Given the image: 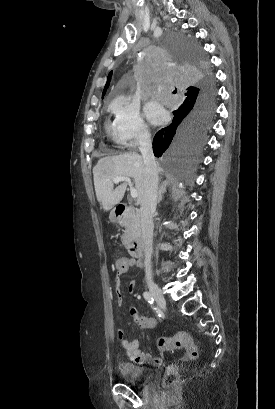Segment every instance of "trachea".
I'll list each match as a JSON object with an SVG mask.
<instances>
[{
	"label": "trachea",
	"mask_w": 275,
	"mask_h": 409,
	"mask_svg": "<svg viewBox=\"0 0 275 409\" xmlns=\"http://www.w3.org/2000/svg\"><path fill=\"white\" fill-rule=\"evenodd\" d=\"M176 91H177V90L175 89L173 93H176Z\"/></svg>",
	"instance_id": "obj_1"
}]
</instances>
